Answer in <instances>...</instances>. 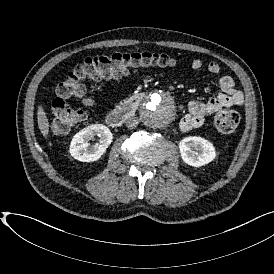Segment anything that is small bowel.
<instances>
[{
	"instance_id": "obj_1",
	"label": "small bowel",
	"mask_w": 274,
	"mask_h": 274,
	"mask_svg": "<svg viewBox=\"0 0 274 274\" xmlns=\"http://www.w3.org/2000/svg\"><path fill=\"white\" fill-rule=\"evenodd\" d=\"M204 63L195 58L191 61V68L195 71L201 70ZM208 72L219 74L221 67L217 62L207 64ZM221 92L207 101H191L188 105V113L180 123L182 131L188 132L201 127L206 119L222 108L241 105L244 102L243 92L236 87L235 81L230 76H222L219 80Z\"/></svg>"
}]
</instances>
